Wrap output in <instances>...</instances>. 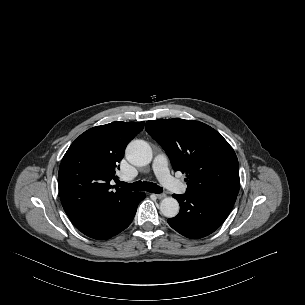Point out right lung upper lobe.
<instances>
[{
  "instance_id": "1",
  "label": "right lung upper lobe",
  "mask_w": 305,
  "mask_h": 305,
  "mask_svg": "<svg viewBox=\"0 0 305 305\" xmlns=\"http://www.w3.org/2000/svg\"><path fill=\"white\" fill-rule=\"evenodd\" d=\"M144 122H112L93 127L74 140L59 168L58 187L63 208L71 221L106 210L134 192L111 191L110 181L127 144Z\"/></svg>"
}]
</instances>
